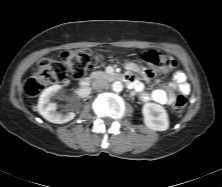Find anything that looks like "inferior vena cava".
<instances>
[{
	"mask_svg": "<svg viewBox=\"0 0 222 187\" xmlns=\"http://www.w3.org/2000/svg\"><path fill=\"white\" fill-rule=\"evenodd\" d=\"M108 86V82L102 78L97 79L93 82V88L96 90L104 89Z\"/></svg>",
	"mask_w": 222,
	"mask_h": 187,
	"instance_id": "602c4592",
	"label": "inferior vena cava"
}]
</instances>
